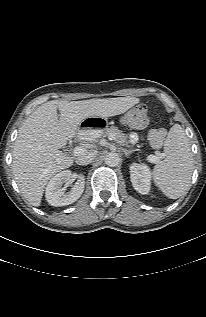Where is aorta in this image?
Listing matches in <instances>:
<instances>
[{"label": "aorta", "instance_id": "obj_1", "mask_svg": "<svg viewBox=\"0 0 206 317\" xmlns=\"http://www.w3.org/2000/svg\"><path fill=\"white\" fill-rule=\"evenodd\" d=\"M120 156L116 152H109L105 155L104 162L109 167H115L120 162Z\"/></svg>", "mask_w": 206, "mask_h": 317}]
</instances>
